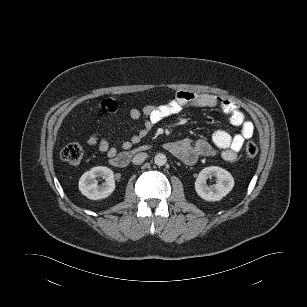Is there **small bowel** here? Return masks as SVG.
Returning <instances> with one entry per match:
<instances>
[{
  "label": "small bowel",
  "instance_id": "c3829d8e",
  "mask_svg": "<svg viewBox=\"0 0 307 307\" xmlns=\"http://www.w3.org/2000/svg\"><path fill=\"white\" fill-rule=\"evenodd\" d=\"M101 108L105 112L113 114L118 109V102L113 98L106 99L102 101ZM186 108H219L228 115L230 124L239 128V133L231 135L228 131L219 129L213 133L211 141L182 139L167 143L165 148L185 164L191 165L201 157L212 156L216 153V150L221 151L222 158L225 161L234 162L245 140L253 136V124L246 120L244 113L235 102L206 93L178 91L174 98L165 104H150L142 109L130 108L128 110L129 118L132 121L143 119V125L137 133L121 142V148L124 150L130 149L147 136L155 125ZM100 122L101 119L97 120V125ZM86 144L97 147L110 160L118 154L116 146L112 145L107 138L100 137L98 132L88 135Z\"/></svg>",
  "mask_w": 307,
  "mask_h": 307
}]
</instances>
